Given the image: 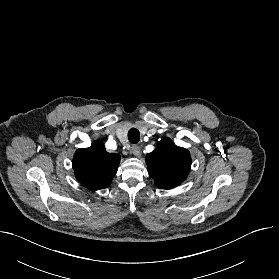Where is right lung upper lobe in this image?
Wrapping results in <instances>:
<instances>
[{
	"mask_svg": "<svg viewBox=\"0 0 279 279\" xmlns=\"http://www.w3.org/2000/svg\"><path fill=\"white\" fill-rule=\"evenodd\" d=\"M119 163L120 155L108 153L100 141L89 148L78 149L73 158L76 179L93 191L110 185Z\"/></svg>",
	"mask_w": 279,
	"mask_h": 279,
	"instance_id": "1",
	"label": "right lung upper lobe"
}]
</instances>
